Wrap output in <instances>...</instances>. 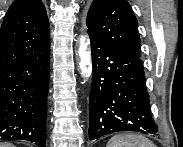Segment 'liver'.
Returning <instances> with one entry per match:
<instances>
[{"label": "liver", "instance_id": "1", "mask_svg": "<svg viewBox=\"0 0 183 147\" xmlns=\"http://www.w3.org/2000/svg\"><path fill=\"white\" fill-rule=\"evenodd\" d=\"M0 147H14V145L10 143H0Z\"/></svg>", "mask_w": 183, "mask_h": 147}]
</instances>
